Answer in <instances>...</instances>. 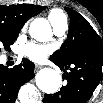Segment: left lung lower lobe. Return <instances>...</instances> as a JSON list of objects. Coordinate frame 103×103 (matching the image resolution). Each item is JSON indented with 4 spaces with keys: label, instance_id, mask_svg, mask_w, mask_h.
<instances>
[{
    "label": "left lung lower lobe",
    "instance_id": "1",
    "mask_svg": "<svg viewBox=\"0 0 103 103\" xmlns=\"http://www.w3.org/2000/svg\"><path fill=\"white\" fill-rule=\"evenodd\" d=\"M89 53L78 55L66 63L54 62L66 72L67 85L53 95L45 94L44 103H86L102 78L103 48L102 44H90ZM65 77V75H64Z\"/></svg>",
    "mask_w": 103,
    "mask_h": 103
}]
</instances>
